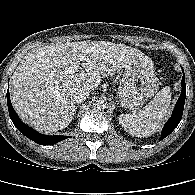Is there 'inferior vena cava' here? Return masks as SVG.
Instances as JSON below:
<instances>
[{
  "mask_svg": "<svg viewBox=\"0 0 195 195\" xmlns=\"http://www.w3.org/2000/svg\"><path fill=\"white\" fill-rule=\"evenodd\" d=\"M89 94L90 90L88 88L80 87L73 92V99L76 103H81L89 97Z\"/></svg>",
  "mask_w": 195,
  "mask_h": 195,
  "instance_id": "inferior-vena-cava-1",
  "label": "inferior vena cava"
}]
</instances>
